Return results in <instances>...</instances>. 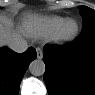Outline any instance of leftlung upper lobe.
<instances>
[{"label": "left lung upper lobe", "instance_id": "1", "mask_svg": "<svg viewBox=\"0 0 95 95\" xmlns=\"http://www.w3.org/2000/svg\"><path fill=\"white\" fill-rule=\"evenodd\" d=\"M83 19L82 33L95 30V11L87 6H80Z\"/></svg>", "mask_w": 95, "mask_h": 95}]
</instances>
